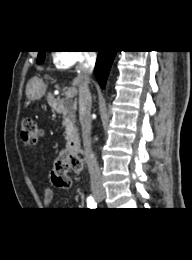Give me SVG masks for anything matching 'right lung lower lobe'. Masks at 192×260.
I'll return each instance as SVG.
<instances>
[{"label": "right lung lower lobe", "mask_w": 192, "mask_h": 260, "mask_svg": "<svg viewBox=\"0 0 192 260\" xmlns=\"http://www.w3.org/2000/svg\"><path fill=\"white\" fill-rule=\"evenodd\" d=\"M116 52L117 51H99L94 74L102 88L105 87L109 70L115 58Z\"/></svg>", "instance_id": "right-lung-lower-lobe-1"}]
</instances>
